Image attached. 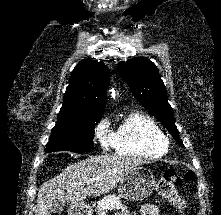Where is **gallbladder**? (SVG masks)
<instances>
[{
    "mask_svg": "<svg viewBox=\"0 0 221 215\" xmlns=\"http://www.w3.org/2000/svg\"><path fill=\"white\" fill-rule=\"evenodd\" d=\"M64 206H65V202L56 201L54 203L53 208H52V212L53 213L61 212L64 209Z\"/></svg>",
    "mask_w": 221,
    "mask_h": 215,
    "instance_id": "1",
    "label": "gallbladder"
}]
</instances>
